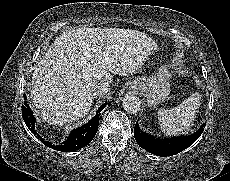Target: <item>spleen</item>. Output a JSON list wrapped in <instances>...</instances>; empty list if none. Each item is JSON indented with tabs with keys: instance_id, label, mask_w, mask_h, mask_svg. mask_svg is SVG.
Masks as SVG:
<instances>
[{
	"instance_id": "obj_1",
	"label": "spleen",
	"mask_w": 230,
	"mask_h": 181,
	"mask_svg": "<svg viewBox=\"0 0 230 181\" xmlns=\"http://www.w3.org/2000/svg\"><path fill=\"white\" fill-rule=\"evenodd\" d=\"M200 104L199 95L192 94L176 107L161 108L158 111V121L162 132L171 136L187 131Z\"/></svg>"
}]
</instances>
